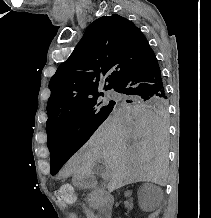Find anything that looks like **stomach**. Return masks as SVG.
<instances>
[{
  "label": "stomach",
  "mask_w": 211,
  "mask_h": 218,
  "mask_svg": "<svg viewBox=\"0 0 211 218\" xmlns=\"http://www.w3.org/2000/svg\"><path fill=\"white\" fill-rule=\"evenodd\" d=\"M74 183L77 186H82L85 183V176L83 175H74Z\"/></svg>",
  "instance_id": "stomach-1"
}]
</instances>
